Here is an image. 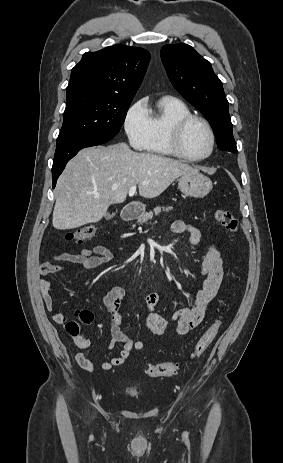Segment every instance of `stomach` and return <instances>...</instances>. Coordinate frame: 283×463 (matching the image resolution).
<instances>
[{
	"label": "stomach",
	"mask_w": 283,
	"mask_h": 463,
	"mask_svg": "<svg viewBox=\"0 0 283 463\" xmlns=\"http://www.w3.org/2000/svg\"><path fill=\"white\" fill-rule=\"evenodd\" d=\"M178 188L186 196L203 198L210 192L212 182L208 177L196 171L180 176ZM144 211L145 206L143 204L135 209L136 214H143Z\"/></svg>",
	"instance_id": "obj_1"
}]
</instances>
